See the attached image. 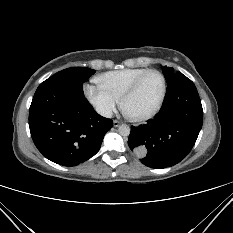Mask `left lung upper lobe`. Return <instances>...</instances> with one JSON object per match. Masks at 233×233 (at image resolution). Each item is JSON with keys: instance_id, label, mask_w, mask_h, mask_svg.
<instances>
[{"instance_id": "left-lung-upper-lobe-1", "label": "left lung upper lobe", "mask_w": 233, "mask_h": 233, "mask_svg": "<svg viewBox=\"0 0 233 233\" xmlns=\"http://www.w3.org/2000/svg\"><path fill=\"white\" fill-rule=\"evenodd\" d=\"M163 74L166 78L167 86H168L171 83L172 78L174 77L176 73L174 72L173 68L165 66L163 68Z\"/></svg>"}]
</instances>
